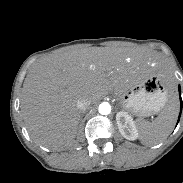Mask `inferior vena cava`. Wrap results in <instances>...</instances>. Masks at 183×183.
I'll return each mask as SVG.
<instances>
[{
	"instance_id": "obj_1",
	"label": "inferior vena cava",
	"mask_w": 183,
	"mask_h": 183,
	"mask_svg": "<svg viewBox=\"0 0 183 183\" xmlns=\"http://www.w3.org/2000/svg\"><path fill=\"white\" fill-rule=\"evenodd\" d=\"M89 107V104L87 103L86 100L80 99L77 102V108L81 111L84 112L87 108Z\"/></svg>"
}]
</instances>
